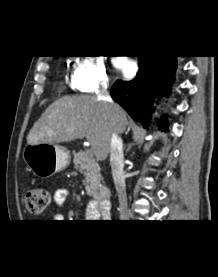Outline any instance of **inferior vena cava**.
<instances>
[{"instance_id":"inferior-vena-cava-1","label":"inferior vena cava","mask_w":218,"mask_h":277,"mask_svg":"<svg viewBox=\"0 0 218 277\" xmlns=\"http://www.w3.org/2000/svg\"><path fill=\"white\" fill-rule=\"evenodd\" d=\"M107 83H102L99 90L97 98L99 101H103L109 104V106L114 110L118 111V106L114 104L111 96L107 90ZM110 165L112 171V177L114 180L115 188L119 199V213L120 219L125 220L129 218L127 196H126V186H125V176H124V155H123V142L122 139L116 134H112L110 143Z\"/></svg>"}]
</instances>
